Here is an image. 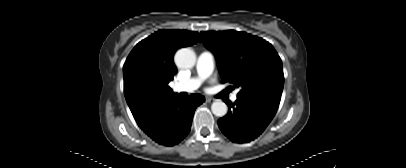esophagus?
Here are the masks:
<instances>
[{
    "instance_id": "esophagus-1",
    "label": "esophagus",
    "mask_w": 406,
    "mask_h": 168,
    "mask_svg": "<svg viewBox=\"0 0 406 168\" xmlns=\"http://www.w3.org/2000/svg\"><path fill=\"white\" fill-rule=\"evenodd\" d=\"M214 101H215L214 98L206 97V102H207V103H213Z\"/></svg>"
}]
</instances>
